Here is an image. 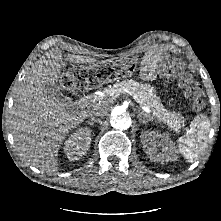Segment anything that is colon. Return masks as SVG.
Listing matches in <instances>:
<instances>
[{
    "label": "colon",
    "mask_w": 221,
    "mask_h": 221,
    "mask_svg": "<svg viewBox=\"0 0 221 221\" xmlns=\"http://www.w3.org/2000/svg\"><path fill=\"white\" fill-rule=\"evenodd\" d=\"M135 70H126L130 73ZM159 71L166 76L176 75L179 85L184 89L186 96L193 102L197 108L203 106L202 89L195 82L190 74L185 72L181 67L175 66L172 62H164ZM116 69L112 65L101 67L78 66L70 70L64 77V80L72 92H76L88 83H97L107 80L112 77Z\"/></svg>",
    "instance_id": "5ec220e1"
}]
</instances>
